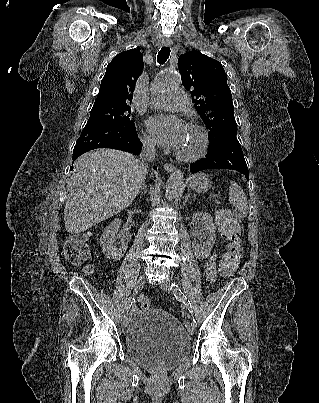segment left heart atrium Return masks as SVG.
Masks as SVG:
<instances>
[{
	"instance_id": "left-heart-atrium-1",
	"label": "left heart atrium",
	"mask_w": 319,
	"mask_h": 403,
	"mask_svg": "<svg viewBox=\"0 0 319 403\" xmlns=\"http://www.w3.org/2000/svg\"><path fill=\"white\" fill-rule=\"evenodd\" d=\"M148 130L153 139L161 146L178 150L182 145L186 128L174 116H155L148 121Z\"/></svg>"
}]
</instances>
